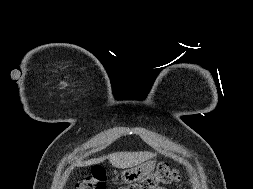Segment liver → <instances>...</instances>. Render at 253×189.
I'll use <instances>...</instances> for the list:
<instances>
[{"label": "liver", "instance_id": "liver-1", "mask_svg": "<svg viewBox=\"0 0 253 189\" xmlns=\"http://www.w3.org/2000/svg\"><path fill=\"white\" fill-rule=\"evenodd\" d=\"M155 154L151 152H115L109 154L108 156H103L100 158H94L84 162L82 165H92L97 164L105 159H109L110 163L116 168H130L138 166L139 164L151 159Z\"/></svg>", "mask_w": 253, "mask_h": 189}]
</instances>
